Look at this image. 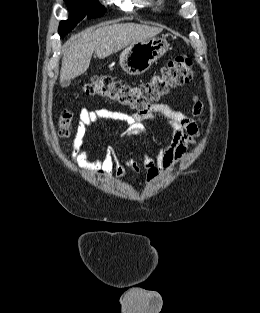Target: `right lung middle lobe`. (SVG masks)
I'll return each instance as SVG.
<instances>
[{
    "mask_svg": "<svg viewBox=\"0 0 260 313\" xmlns=\"http://www.w3.org/2000/svg\"><path fill=\"white\" fill-rule=\"evenodd\" d=\"M67 4L70 18L66 21H61L58 33L64 37L69 33L77 23L85 16L88 18H95L102 16L105 9L96 0H64Z\"/></svg>",
    "mask_w": 260,
    "mask_h": 313,
    "instance_id": "obj_1",
    "label": "right lung middle lobe"
}]
</instances>
